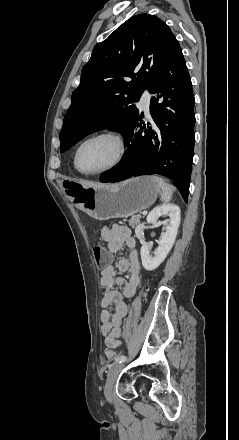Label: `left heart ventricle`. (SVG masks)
<instances>
[{"label": "left heart ventricle", "instance_id": "b2bd125f", "mask_svg": "<svg viewBox=\"0 0 239 440\" xmlns=\"http://www.w3.org/2000/svg\"><path fill=\"white\" fill-rule=\"evenodd\" d=\"M118 153L114 140L98 138L86 143L79 155V166L85 172H95L110 166Z\"/></svg>", "mask_w": 239, "mask_h": 440}]
</instances>
